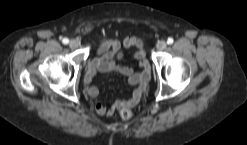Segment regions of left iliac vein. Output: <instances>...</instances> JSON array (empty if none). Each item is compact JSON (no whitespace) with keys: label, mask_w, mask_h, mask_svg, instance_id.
Returning <instances> with one entry per match:
<instances>
[{"label":"left iliac vein","mask_w":247,"mask_h":145,"mask_svg":"<svg viewBox=\"0 0 247 145\" xmlns=\"http://www.w3.org/2000/svg\"><path fill=\"white\" fill-rule=\"evenodd\" d=\"M167 43L164 40H161L157 43V50L162 51L166 48Z\"/></svg>","instance_id":"1"}]
</instances>
